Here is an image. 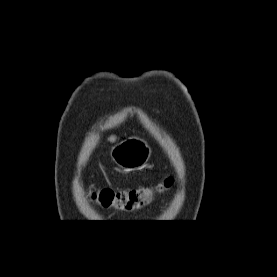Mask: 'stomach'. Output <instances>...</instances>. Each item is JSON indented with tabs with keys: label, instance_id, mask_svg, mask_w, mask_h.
Masks as SVG:
<instances>
[{
	"label": "stomach",
	"instance_id": "1",
	"mask_svg": "<svg viewBox=\"0 0 277 277\" xmlns=\"http://www.w3.org/2000/svg\"><path fill=\"white\" fill-rule=\"evenodd\" d=\"M112 160L122 169L137 170L143 168L151 156V148L139 137H130L112 148Z\"/></svg>",
	"mask_w": 277,
	"mask_h": 277
}]
</instances>
